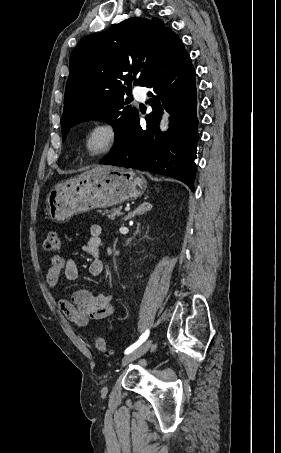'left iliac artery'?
<instances>
[{"label": "left iliac artery", "mask_w": 281, "mask_h": 453, "mask_svg": "<svg viewBox=\"0 0 281 453\" xmlns=\"http://www.w3.org/2000/svg\"><path fill=\"white\" fill-rule=\"evenodd\" d=\"M149 333H150L149 329H147L145 333H143L142 336H140V339L137 342H135L133 345H131L125 350V354L132 353L136 348H138L148 338Z\"/></svg>", "instance_id": "obj_1"}]
</instances>
